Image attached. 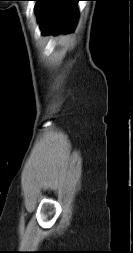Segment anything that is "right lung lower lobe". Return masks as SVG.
Masks as SVG:
<instances>
[{
    "label": "right lung lower lobe",
    "instance_id": "98d812e1",
    "mask_svg": "<svg viewBox=\"0 0 133 253\" xmlns=\"http://www.w3.org/2000/svg\"><path fill=\"white\" fill-rule=\"evenodd\" d=\"M38 21L42 33L55 34L73 31L77 18L79 0H35Z\"/></svg>",
    "mask_w": 133,
    "mask_h": 253
}]
</instances>
